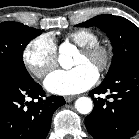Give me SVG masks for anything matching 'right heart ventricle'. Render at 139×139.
<instances>
[{"label":"right heart ventricle","instance_id":"right-heart-ventricle-1","mask_svg":"<svg viewBox=\"0 0 139 139\" xmlns=\"http://www.w3.org/2000/svg\"><path fill=\"white\" fill-rule=\"evenodd\" d=\"M67 38L79 47L99 41V36L89 29H78L67 34Z\"/></svg>","mask_w":139,"mask_h":139}]
</instances>
